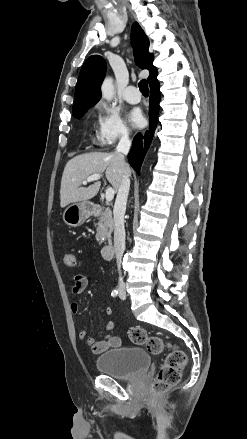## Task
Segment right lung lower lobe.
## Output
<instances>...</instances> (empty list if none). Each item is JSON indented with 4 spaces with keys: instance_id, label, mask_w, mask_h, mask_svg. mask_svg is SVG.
I'll list each match as a JSON object with an SVG mask.
<instances>
[{
    "instance_id": "right-lung-lower-lobe-1",
    "label": "right lung lower lobe",
    "mask_w": 247,
    "mask_h": 439,
    "mask_svg": "<svg viewBox=\"0 0 247 439\" xmlns=\"http://www.w3.org/2000/svg\"><path fill=\"white\" fill-rule=\"evenodd\" d=\"M159 82H155L150 86V108H149V130L145 135L137 134L133 139V145L130 153L128 154V161L133 169L140 174V167L145 157L147 150L152 142V138L155 132L157 115L159 110Z\"/></svg>"
}]
</instances>
